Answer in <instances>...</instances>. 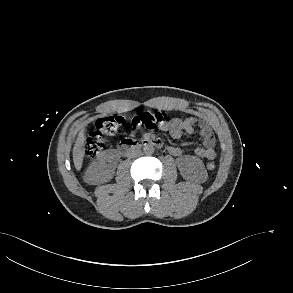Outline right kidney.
I'll return each instance as SVG.
<instances>
[{"label": "right kidney", "mask_w": 293, "mask_h": 293, "mask_svg": "<svg viewBox=\"0 0 293 293\" xmlns=\"http://www.w3.org/2000/svg\"><path fill=\"white\" fill-rule=\"evenodd\" d=\"M114 176V169L103 157H98L88 167L84 180L91 185H97L110 181Z\"/></svg>", "instance_id": "right-kidney-1"}]
</instances>
